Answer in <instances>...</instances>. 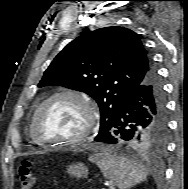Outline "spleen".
<instances>
[{
    "instance_id": "obj_1",
    "label": "spleen",
    "mask_w": 188,
    "mask_h": 189,
    "mask_svg": "<svg viewBox=\"0 0 188 189\" xmlns=\"http://www.w3.org/2000/svg\"><path fill=\"white\" fill-rule=\"evenodd\" d=\"M89 160L97 164L104 177L119 189H129L147 178V172L141 166L108 151L93 154Z\"/></svg>"
}]
</instances>
